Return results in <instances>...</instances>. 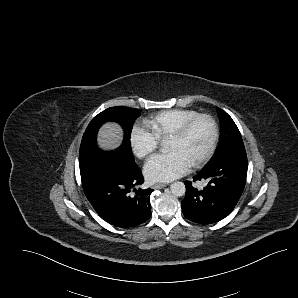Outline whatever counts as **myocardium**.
I'll return each mask as SVG.
<instances>
[{"mask_svg": "<svg viewBox=\"0 0 298 298\" xmlns=\"http://www.w3.org/2000/svg\"><path fill=\"white\" fill-rule=\"evenodd\" d=\"M200 120L207 121L208 127H209V136L204 150L189 164V167H194L198 165L200 162H202L204 159L208 157V155L212 150L215 137H216V127L212 118L206 114H199L189 120H186L180 123L175 129L169 132L163 139V145L166 146L167 143L183 135Z\"/></svg>", "mask_w": 298, "mask_h": 298, "instance_id": "myocardium-1", "label": "myocardium"}]
</instances>
